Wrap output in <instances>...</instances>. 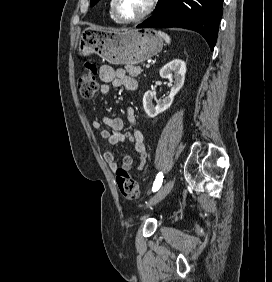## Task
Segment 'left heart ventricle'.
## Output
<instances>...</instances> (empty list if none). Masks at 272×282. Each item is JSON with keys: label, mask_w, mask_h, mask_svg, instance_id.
Masks as SVG:
<instances>
[{"label": "left heart ventricle", "mask_w": 272, "mask_h": 282, "mask_svg": "<svg viewBox=\"0 0 272 282\" xmlns=\"http://www.w3.org/2000/svg\"><path fill=\"white\" fill-rule=\"evenodd\" d=\"M150 0H118V11L125 18H134L141 15L147 8Z\"/></svg>", "instance_id": "b2bd125f"}]
</instances>
